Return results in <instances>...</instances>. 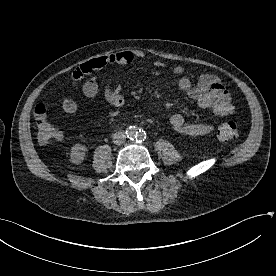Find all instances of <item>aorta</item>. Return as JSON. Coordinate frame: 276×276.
<instances>
[{
  "mask_svg": "<svg viewBox=\"0 0 276 276\" xmlns=\"http://www.w3.org/2000/svg\"><path fill=\"white\" fill-rule=\"evenodd\" d=\"M128 134L132 139H136L138 141H142L146 138V133L143 130H137L135 128H131L128 131Z\"/></svg>",
  "mask_w": 276,
  "mask_h": 276,
  "instance_id": "aorta-1",
  "label": "aorta"
}]
</instances>
